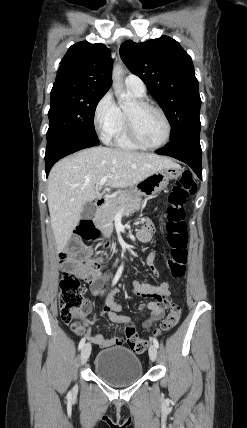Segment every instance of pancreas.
<instances>
[{"mask_svg": "<svg viewBox=\"0 0 247 428\" xmlns=\"http://www.w3.org/2000/svg\"><path fill=\"white\" fill-rule=\"evenodd\" d=\"M142 199L141 195L131 190H122L110 199L99 211L96 223L103 229L113 228V220L116 213L123 209L124 214H129L138 211L141 208Z\"/></svg>", "mask_w": 247, "mask_h": 428, "instance_id": "pancreas-1", "label": "pancreas"}]
</instances>
